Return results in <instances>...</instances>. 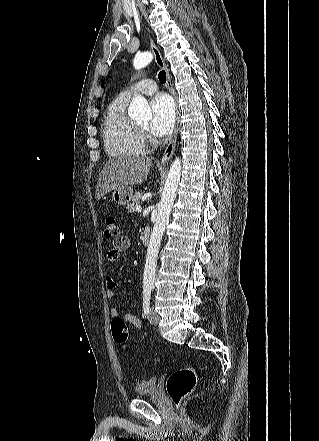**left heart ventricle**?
Listing matches in <instances>:
<instances>
[{
    "label": "left heart ventricle",
    "mask_w": 319,
    "mask_h": 441,
    "mask_svg": "<svg viewBox=\"0 0 319 441\" xmlns=\"http://www.w3.org/2000/svg\"><path fill=\"white\" fill-rule=\"evenodd\" d=\"M141 125H142L143 127H147V126H148V121H144V122H142Z\"/></svg>",
    "instance_id": "obj_1"
}]
</instances>
